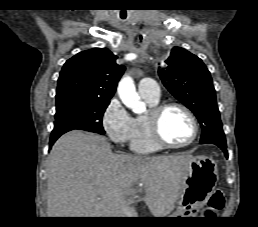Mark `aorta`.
Returning <instances> with one entry per match:
<instances>
[{
	"mask_svg": "<svg viewBox=\"0 0 258 227\" xmlns=\"http://www.w3.org/2000/svg\"><path fill=\"white\" fill-rule=\"evenodd\" d=\"M118 95L122 103L134 113L141 114L145 111V104L136 92L135 84L129 75L124 76L118 84Z\"/></svg>",
	"mask_w": 258,
	"mask_h": 227,
	"instance_id": "obj_1",
	"label": "aorta"
}]
</instances>
